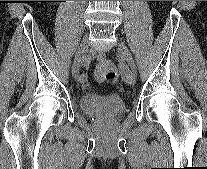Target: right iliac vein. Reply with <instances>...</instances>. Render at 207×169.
<instances>
[{"label":"right iliac vein","instance_id":"right-iliac-vein-1","mask_svg":"<svg viewBox=\"0 0 207 169\" xmlns=\"http://www.w3.org/2000/svg\"><path fill=\"white\" fill-rule=\"evenodd\" d=\"M87 49H88V38H87V36H85L82 39V41L78 47V50L76 52V56H75V59L73 61V65H72V73H73L74 77L77 79L79 77L78 71H79V67H80V62H81V59L84 57Z\"/></svg>","mask_w":207,"mask_h":169}]
</instances>
